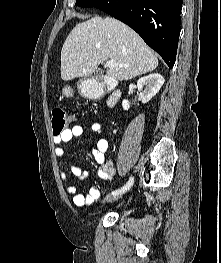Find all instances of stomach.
I'll return each mask as SVG.
<instances>
[{
	"label": "stomach",
	"mask_w": 221,
	"mask_h": 263,
	"mask_svg": "<svg viewBox=\"0 0 221 263\" xmlns=\"http://www.w3.org/2000/svg\"><path fill=\"white\" fill-rule=\"evenodd\" d=\"M84 82H81L80 85H79V89L83 92L84 91ZM72 89L69 87V86H66L63 88V93L66 95V96H70L72 95Z\"/></svg>",
	"instance_id": "stomach-1"
}]
</instances>
